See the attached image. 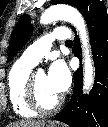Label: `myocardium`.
<instances>
[{"instance_id":"f54148a6","label":"myocardium","mask_w":108,"mask_h":127,"mask_svg":"<svg viewBox=\"0 0 108 127\" xmlns=\"http://www.w3.org/2000/svg\"><path fill=\"white\" fill-rule=\"evenodd\" d=\"M36 73L33 72L29 75L26 85V99L27 103L32 110L37 113L47 114L57 110L62 102L63 98L59 96L51 105H45L42 103L36 86Z\"/></svg>"}]
</instances>
